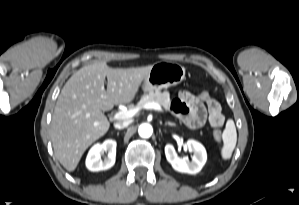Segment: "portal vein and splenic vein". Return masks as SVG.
<instances>
[{
    "instance_id": "18ae733b",
    "label": "portal vein and splenic vein",
    "mask_w": 299,
    "mask_h": 205,
    "mask_svg": "<svg viewBox=\"0 0 299 205\" xmlns=\"http://www.w3.org/2000/svg\"><path fill=\"white\" fill-rule=\"evenodd\" d=\"M142 107L145 108V109H154V110H157V111H163L161 105L156 103V102L146 103ZM140 108L141 107H136V108L129 109V110L119 111V112L115 113L114 119L115 120L129 119V118L133 117L134 115H136L138 113V111L140 110Z\"/></svg>"
}]
</instances>
